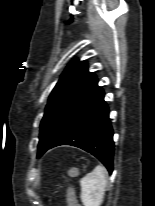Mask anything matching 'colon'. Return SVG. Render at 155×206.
Returning a JSON list of instances; mask_svg holds the SVG:
<instances>
[{
  "instance_id": "5ec220e1",
  "label": "colon",
  "mask_w": 155,
  "mask_h": 206,
  "mask_svg": "<svg viewBox=\"0 0 155 206\" xmlns=\"http://www.w3.org/2000/svg\"><path fill=\"white\" fill-rule=\"evenodd\" d=\"M67 200L68 206H80L75 198V194L72 188L68 190Z\"/></svg>"
}]
</instances>
